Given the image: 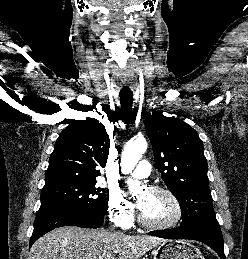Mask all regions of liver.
<instances>
[{"instance_id":"obj_1","label":"liver","mask_w":248,"mask_h":259,"mask_svg":"<svg viewBox=\"0 0 248 259\" xmlns=\"http://www.w3.org/2000/svg\"><path fill=\"white\" fill-rule=\"evenodd\" d=\"M167 240L65 226L32 245L28 259H138Z\"/></svg>"}]
</instances>
